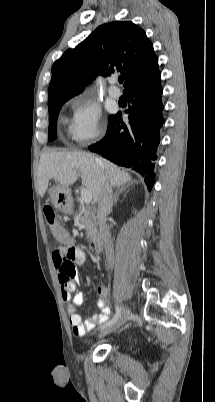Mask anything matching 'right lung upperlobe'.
I'll return each instance as SVG.
<instances>
[{"mask_svg":"<svg viewBox=\"0 0 215 402\" xmlns=\"http://www.w3.org/2000/svg\"><path fill=\"white\" fill-rule=\"evenodd\" d=\"M125 76L127 90L160 76L158 59L144 30L130 21L99 26L74 49H68L52 66L49 101L71 98L97 75Z\"/></svg>","mask_w":215,"mask_h":402,"instance_id":"cb5924a9","label":"right lung upper lobe"}]
</instances>
